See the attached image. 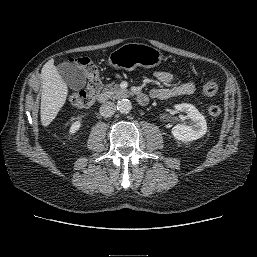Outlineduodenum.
Instances as JSON below:
<instances>
[{
    "label": "duodenum",
    "instance_id": "duodenum-1",
    "mask_svg": "<svg viewBox=\"0 0 257 257\" xmlns=\"http://www.w3.org/2000/svg\"><path fill=\"white\" fill-rule=\"evenodd\" d=\"M136 100L140 105H146L149 101V98L144 93H137ZM98 101L100 103H105L107 101V95L105 93L100 94V96L98 97Z\"/></svg>",
    "mask_w": 257,
    "mask_h": 257
}]
</instances>
